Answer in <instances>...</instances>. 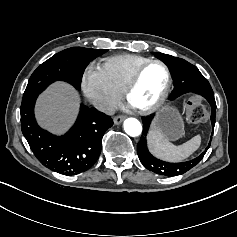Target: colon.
Returning <instances> with one entry per match:
<instances>
[{
  "label": "colon",
  "mask_w": 237,
  "mask_h": 237,
  "mask_svg": "<svg viewBox=\"0 0 237 237\" xmlns=\"http://www.w3.org/2000/svg\"><path fill=\"white\" fill-rule=\"evenodd\" d=\"M209 115V110L202 104L200 96H194L186 103V116L191 123L204 122Z\"/></svg>",
  "instance_id": "obj_1"
}]
</instances>
